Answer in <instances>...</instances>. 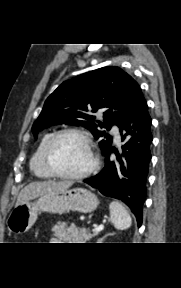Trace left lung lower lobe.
I'll use <instances>...</instances> for the list:
<instances>
[{"label":"left lung lower lobe","instance_id":"left-lung-lower-lobe-1","mask_svg":"<svg viewBox=\"0 0 181 288\" xmlns=\"http://www.w3.org/2000/svg\"><path fill=\"white\" fill-rule=\"evenodd\" d=\"M151 121L147 102L139 89L131 108L119 126L122 141L127 140L122 146L125 150L122 153L125 160H120V166H116L110 160V154L114 152V148H110L104 154L103 170L96 176L84 180L102 194L126 203L134 213L138 227L141 226L143 219L146 179L151 160L150 145L153 140Z\"/></svg>","mask_w":181,"mask_h":288}]
</instances>
